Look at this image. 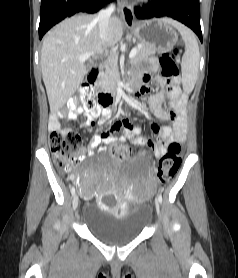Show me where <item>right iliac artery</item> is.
<instances>
[{"mask_svg":"<svg viewBox=\"0 0 238 278\" xmlns=\"http://www.w3.org/2000/svg\"><path fill=\"white\" fill-rule=\"evenodd\" d=\"M71 194H72V196L75 195V188L73 186L71 187Z\"/></svg>","mask_w":238,"mask_h":278,"instance_id":"right-iliac-artery-1","label":"right iliac artery"}]
</instances>
